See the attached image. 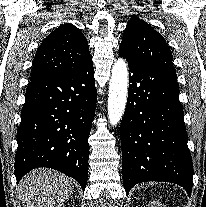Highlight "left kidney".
Masks as SVG:
<instances>
[{
  "label": "left kidney",
  "instance_id": "left-kidney-1",
  "mask_svg": "<svg viewBox=\"0 0 206 207\" xmlns=\"http://www.w3.org/2000/svg\"><path fill=\"white\" fill-rule=\"evenodd\" d=\"M147 207H166L162 205L158 200L150 201Z\"/></svg>",
  "mask_w": 206,
  "mask_h": 207
}]
</instances>
